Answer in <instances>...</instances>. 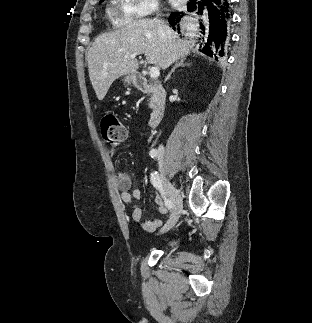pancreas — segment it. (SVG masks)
Here are the masks:
<instances>
[{
  "label": "pancreas",
  "instance_id": "obj_1",
  "mask_svg": "<svg viewBox=\"0 0 312 323\" xmlns=\"http://www.w3.org/2000/svg\"><path fill=\"white\" fill-rule=\"evenodd\" d=\"M156 102H157L156 96H151V98H150V104H149L150 108H155Z\"/></svg>",
  "mask_w": 312,
  "mask_h": 323
}]
</instances>
